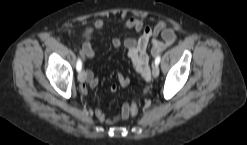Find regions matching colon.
<instances>
[{"instance_id":"1","label":"colon","mask_w":247,"mask_h":145,"mask_svg":"<svg viewBox=\"0 0 247 145\" xmlns=\"http://www.w3.org/2000/svg\"><path fill=\"white\" fill-rule=\"evenodd\" d=\"M139 108L135 101H132L128 108L125 110L126 117H136L138 115Z\"/></svg>"}]
</instances>
